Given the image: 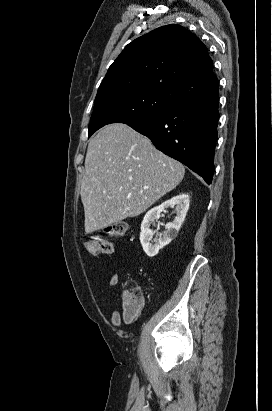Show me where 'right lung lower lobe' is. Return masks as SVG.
Instances as JSON below:
<instances>
[{
	"label": "right lung lower lobe",
	"mask_w": 272,
	"mask_h": 411,
	"mask_svg": "<svg viewBox=\"0 0 272 411\" xmlns=\"http://www.w3.org/2000/svg\"><path fill=\"white\" fill-rule=\"evenodd\" d=\"M218 88L128 125L147 136L157 149L185 164L210 184L219 120Z\"/></svg>",
	"instance_id": "right-lung-lower-lobe-1"
}]
</instances>
